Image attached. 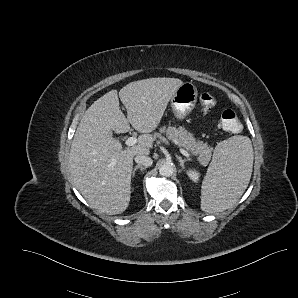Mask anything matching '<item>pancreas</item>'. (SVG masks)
<instances>
[{
    "instance_id": "cf45deb5",
    "label": "pancreas",
    "mask_w": 298,
    "mask_h": 298,
    "mask_svg": "<svg viewBox=\"0 0 298 298\" xmlns=\"http://www.w3.org/2000/svg\"><path fill=\"white\" fill-rule=\"evenodd\" d=\"M159 142H165L168 137L169 140L175 139L179 146L184 147L190 154L197 156L198 160L203 166H207L212 158L214 148L202 140L196 139L193 131L187 130L186 127L174 125L172 122L159 127L157 132H154Z\"/></svg>"
}]
</instances>
